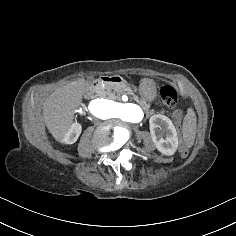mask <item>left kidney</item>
<instances>
[{"instance_id":"1","label":"left kidney","mask_w":236,"mask_h":236,"mask_svg":"<svg viewBox=\"0 0 236 236\" xmlns=\"http://www.w3.org/2000/svg\"><path fill=\"white\" fill-rule=\"evenodd\" d=\"M150 133L156 148L164 155H173L178 147L176 129L165 115L155 114L149 120Z\"/></svg>"}]
</instances>
